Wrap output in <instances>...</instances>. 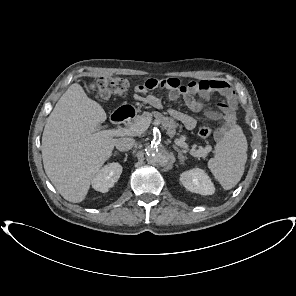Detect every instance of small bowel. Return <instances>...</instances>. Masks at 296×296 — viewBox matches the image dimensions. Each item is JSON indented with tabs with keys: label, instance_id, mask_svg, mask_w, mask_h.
<instances>
[{
	"label": "small bowel",
	"instance_id": "c3829d8e",
	"mask_svg": "<svg viewBox=\"0 0 296 296\" xmlns=\"http://www.w3.org/2000/svg\"><path fill=\"white\" fill-rule=\"evenodd\" d=\"M158 87L166 89L169 98L173 101L182 98L192 111L202 110L209 94L218 92L221 95V102L218 106L219 111L208 113L209 117L220 122V126L216 130L218 138H223L235 122L237 101L232 87L225 81L204 79L191 81L183 85L176 78L162 80L150 78L135 87L134 99L146 102L155 108H160V99L148 93ZM169 114L181 122L188 130H193L196 127V119L187 113L171 109Z\"/></svg>",
	"mask_w": 296,
	"mask_h": 296
}]
</instances>
